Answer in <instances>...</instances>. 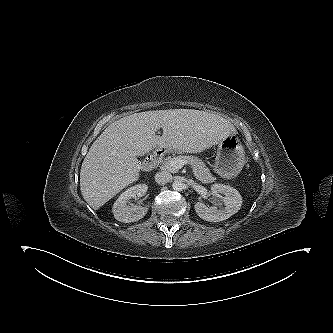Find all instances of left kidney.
<instances>
[{
	"label": "left kidney",
	"instance_id": "left-kidney-1",
	"mask_svg": "<svg viewBox=\"0 0 333 333\" xmlns=\"http://www.w3.org/2000/svg\"><path fill=\"white\" fill-rule=\"evenodd\" d=\"M211 190L215 196L219 194L224 195L220 199L225 207L218 209L216 206L208 207L203 202H197L194 207L201 219L208 222H220L228 219L240 210L242 197L236 189L223 184H215L211 187Z\"/></svg>",
	"mask_w": 333,
	"mask_h": 333
}]
</instances>
